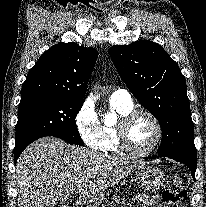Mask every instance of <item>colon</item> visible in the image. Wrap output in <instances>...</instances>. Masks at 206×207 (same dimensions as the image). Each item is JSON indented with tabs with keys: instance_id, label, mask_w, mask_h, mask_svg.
Segmentation results:
<instances>
[{
	"instance_id": "1",
	"label": "colon",
	"mask_w": 206,
	"mask_h": 207,
	"mask_svg": "<svg viewBox=\"0 0 206 207\" xmlns=\"http://www.w3.org/2000/svg\"><path fill=\"white\" fill-rule=\"evenodd\" d=\"M187 192L183 181L178 176H173L167 180L162 199L168 207H184ZM61 207H76L75 202L62 205Z\"/></svg>"
}]
</instances>
